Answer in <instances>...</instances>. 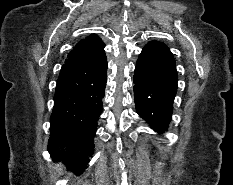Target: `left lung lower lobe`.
Returning a JSON list of instances; mask_svg holds the SVG:
<instances>
[{"label": "left lung lower lobe", "mask_w": 233, "mask_h": 185, "mask_svg": "<svg viewBox=\"0 0 233 185\" xmlns=\"http://www.w3.org/2000/svg\"><path fill=\"white\" fill-rule=\"evenodd\" d=\"M177 80L175 60L168 47L149 42L136 64L134 99L137 113L157 132H164L171 120Z\"/></svg>", "instance_id": "0a47b994"}]
</instances>
